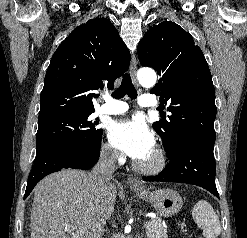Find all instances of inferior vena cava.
I'll use <instances>...</instances> for the list:
<instances>
[{
    "mask_svg": "<svg viewBox=\"0 0 247 238\" xmlns=\"http://www.w3.org/2000/svg\"><path fill=\"white\" fill-rule=\"evenodd\" d=\"M117 157L118 153L115 150H107L101 153L98 163L90 173V177L99 189H103L112 180Z\"/></svg>",
    "mask_w": 247,
    "mask_h": 238,
    "instance_id": "602c4592",
    "label": "inferior vena cava"
}]
</instances>
